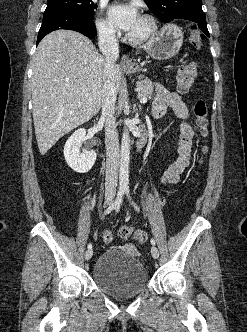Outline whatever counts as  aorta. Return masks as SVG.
Wrapping results in <instances>:
<instances>
[{
  "label": "aorta",
  "mask_w": 247,
  "mask_h": 332,
  "mask_svg": "<svg viewBox=\"0 0 247 332\" xmlns=\"http://www.w3.org/2000/svg\"><path fill=\"white\" fill-rule=\"evenodd\" d=\"M129 160H130V135L125 128L122 134L121 152H120V170L119 185L120 189L129 188Z\"/></svg>",
  "instance_id": "aorta-1"
}]
</instances>
